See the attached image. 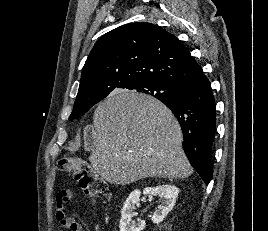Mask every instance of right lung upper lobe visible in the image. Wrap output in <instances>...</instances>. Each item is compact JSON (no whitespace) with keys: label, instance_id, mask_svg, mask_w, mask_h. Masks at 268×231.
I'll use <instances>...</instances> for the list:
<instances>
[{"label":"right lung upper lobe","instance_id":"cb5924a9","mask_svg":"<svg viewBox=\"0 0 268 231\" xmlns=\"http://www.w3.org/2000/svg\"><path fill=\"white\" fill-rule=\"evenodd\" d=\"M202 75V67L173 34L151 23H130L95 43L82 69L75 105L98 103L118 88L147 82L177 88Z\"/></svg>","mask_w":268,"mask_h":231}]
</instances>
